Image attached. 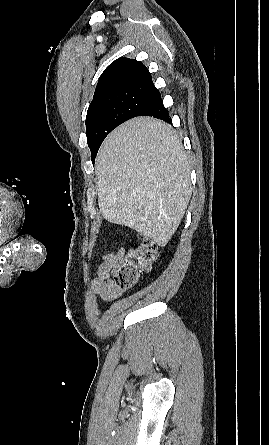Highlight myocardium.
Wrapping results in <instances>:
<instances>
[{"label": "myocardium", "mask_w": 269, "mask_h": 445, "mask_svg": "<svg viewBox=\"0 0 269 445\" xmlns=\"http://www.w3.org/2000/svg\"><path fill=\"white\" fill-rule=\"evenodd\" d=\"M10 235H11V233L6 235V236H4L3 238H1L0 239V244H1V242L5 241L7 238H9Z\"/></svg>", "instance_id": "1"}]
</instances>
